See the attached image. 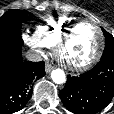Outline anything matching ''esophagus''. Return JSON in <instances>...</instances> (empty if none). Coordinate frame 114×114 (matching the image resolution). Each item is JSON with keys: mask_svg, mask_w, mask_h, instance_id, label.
<instances>
[{"mask_svg": "<svg viewBox=\"0 0 114 114\" xmlns=\"http://www.w3.org/2000/svg\"><path fill=\"white\" fill-rule=\"evenodd\" d=\"M54 69V66L50 63L45 64V72L50 73Z\"/></svg>", "mask_w": 114, "mask_h": 114, "instance_id": "esophagus-1", "label": "esophagus"}]
</instances>
